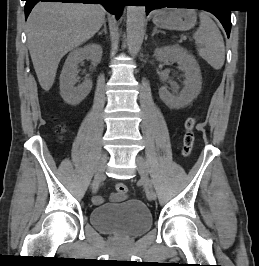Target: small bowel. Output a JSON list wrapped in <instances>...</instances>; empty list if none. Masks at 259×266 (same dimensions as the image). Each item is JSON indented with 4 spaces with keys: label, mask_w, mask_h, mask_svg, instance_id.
Segmentation results:
<instances>
[{
    "label": "small bowel",
    "mask_w": 259,
    "mask_h": 266,
    "mask_svg": "<svg viewBox=\"0 0 259 266\" xmlns=\"http://www.w3.org/2000/svg\"><path fill=\"white\" fill-rule=\"evenodd\" d=\"M126 198V194L125 195H120L118 193H113L111 195V200L114 201V202H120V201H123L124 199ZM93 202L96 204V205H100L104 202V198L100 195H97L93 198Z\"/></svg>",
    "instance_id": "small-bowel-1"
}]
</instances>
